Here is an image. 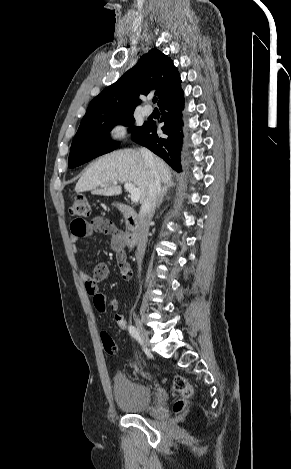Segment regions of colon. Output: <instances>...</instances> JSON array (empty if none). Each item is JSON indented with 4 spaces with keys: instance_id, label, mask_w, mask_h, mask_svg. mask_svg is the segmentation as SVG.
Masks as SVG:
<instances>
[{
    "instance_id": "1",
    "label": "colon",
    "mask_w": 291,
    "mask_h": 469,
    "mask_svg": "<svg viewBox=\"0 0 291 469\" xmlns=\"http://www.w3.org/2000/svg\"><path fill=\"white\" fill-rule=\"evenodd\" d=\"M90 212V204L87 197L83 195L76 196L72 205L70 206V214L77 218V220L84 221L90 216ZM117 261L122 277L125 280H129L132 276V271L127 260L123 255H118ZM108 298L109 297L107 293H102L101 291L96 293V296L92 301V306L94 307V311L96 313H104L107 310L106 306ZM101 341L106 353L109 355H114L117 353V346L107 332H101ZM173 388L182 396V399L178 400L174 404V410L179 412L184 408L186 400L193 395L194 389L189 381L180 375L174 377Z\"/></svg>"
}]
</instances>
